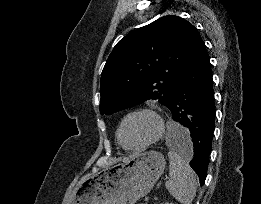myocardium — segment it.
I'll use <instances>...</instances> for the list:
<instances>
[{"label":"myocardium","instance_id":"myocardium-1","mask_svg":"<svg viewBox=\"0 0 261 204\" xmlns=\"http://www.w3.org/2000/svg\"><path fill=\"white\" fill-rule=\"evenodd\" d=\"M141 115H145L150 117L154 123H155V132L154 134L145 142L139 144V145H135V146H128L126 145L121 137V133H122V129L125 125V123L136 116H141ZM165 132V122L164 119L162 117V115L153 107H140V108H136L130 112H128L121 120L118 129H117V140L119 142V144L126 150L129 151H139V150H143L148 148L149 146L155 144L156 142H158L164 135Z\"/></svg>","mask_w":261,"mask_h":204}]
</instances>
